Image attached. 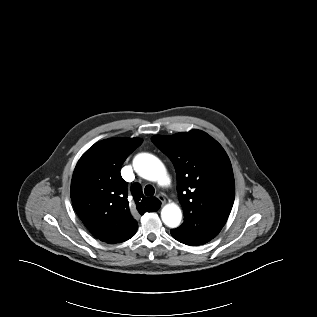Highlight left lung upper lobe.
Returning <instances> with one entry per match:
<instances>
[{
	"instance_id": "left-lung-upper-lobe-1",
	"label": "left lung upper lobe",
	"mask_w": 317,
	"mask_h": 317,
	"mask_svg": "<svg viewBox=\"0 0 317 317\" xmlns=\"http://www.w3.org/2000/svg\"><path fill=\"white\" fill-rule=\"evenodd\" d=\"M151 140L175 167L184 222L198 215L227 219L235 184L230 160L221 145L200 130L157 135Z\"/></svg>"
}]
</instances>
